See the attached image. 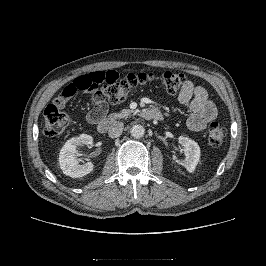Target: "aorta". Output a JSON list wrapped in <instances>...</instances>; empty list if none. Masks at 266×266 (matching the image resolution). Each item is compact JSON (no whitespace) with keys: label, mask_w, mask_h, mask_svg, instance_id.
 Here are the masks:
<instances>
[{"label":"aorta","mask_w":266,"mask_h":266,"mask_svg":"<svg viewBox=\"0 0 266 266\" xmlns=\"http://www.w3.org/2000/svg\"><path fill=\"white\" fill-rule=\"evenodd\" d=\"M130 132L134 138H142L145 134V128L140 124H135L131 127Z\"/></svg>","instance_id":"obj_1"}]
</instances>
